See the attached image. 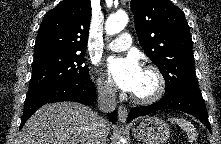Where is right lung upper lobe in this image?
Returning <instances> with one entry per match:
<instances>
[{
	"mask_svg": "<svg viewBox=\"0 0 221 144\" xmlns=\"http://www.w3.org/2000/svg\"><path fill=\"white\" fill-rule=\"evenodd\" d=\"M91 18L90 0H64L48 11L40 25L35 53H84Z\"/></svg>",
	"mask_w": 221,
	"mask_h": 144,
	"instance_id": "1",
	"label": "right lung upper lobe"
}]
</instances>
